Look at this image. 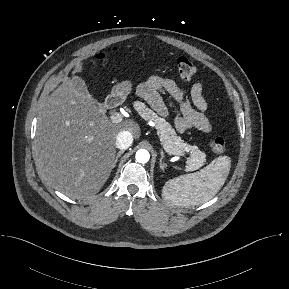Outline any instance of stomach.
<instances>
[{
  "instance_id": "obj_1",
  "label": "stomach",
  "mask_w": 289,
  "mask_h": 289,
  "mask_svg": "<svg viewBox=\"0 0 289 289\" xmlns=\"http://www.w3.org/2000/svg\"><path fill=\"white\" fill-rule=\"evenodd\" d=\"M132 90V83L130 80H125L117 83L112 89V95L125 99Z\"/></svg>"
}]
</instances>
